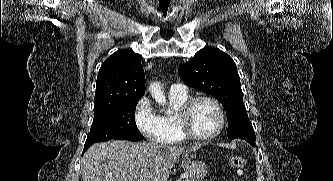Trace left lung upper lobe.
Listing matches in <instances>:
<instances>
[{
    "mask_svg": "<svg viewBox=\"0 0 333 181\" xmlns=\"http://www.w3.org/2000/svg\"><path fill=\"white\" fill-rule=\"evenodd\" d=\"M181 79L189 86L212 95L225 107L229 139L245 135L255 139L241 90L238 71L233 59L220 49L206 47L179 67Z\"/></svg>",
    "mask_w": 333,
    "mask_h": 181,
    "instance_id": "obj_1",
    "label": "left lung upper lobe"
}]
</instances>
